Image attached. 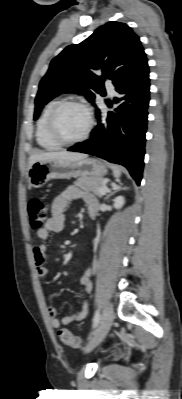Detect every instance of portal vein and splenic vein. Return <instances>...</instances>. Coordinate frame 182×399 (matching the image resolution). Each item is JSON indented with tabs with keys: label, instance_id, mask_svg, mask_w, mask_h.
I'll return each instance as SVG.
<instances>
[{
	"label": "portal vein and splenic vein",
	"instance_id": "obj_1",
	"mask_svg": "<svg viewBox=\"0 0 182 399\" xmlns=\"http://www.w3.org/2000/svg\"><path fill=\"white\" fill-rule=\"evenodd\" d=\"M107 181L105 180V181H103V183L105 184ZM99 191H100V193L102 194V195H104V194H106V192H107V187H103V188H100L99 189Z\"/></svg>",
	"mask_w": 182,
	"mask_h": 399
}]
</instances>
